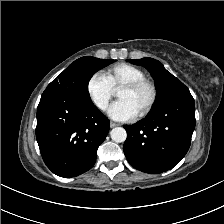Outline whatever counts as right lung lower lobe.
<instances>
[{
	"label": "right lung lower lobe",
	"mask_w": 224,
	"mask_h": 224,
	"mask_svg": "<svg viewBox=\"0 0 224 224\" xmlns=\"http://www.w3.org/2000/svg\"><path fill=\"white\" fill-rule=\"evenodd\" d=\"M109 128L91 99L55 89L43 92L36 138L45 164L56 175L69 178L88 171Z\"/></svg>",
	"instance_id": "right-lung-lower-lobe-1"
}]
</instances>
